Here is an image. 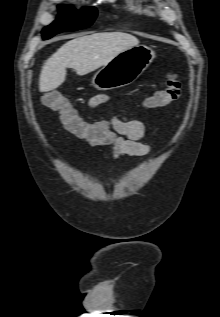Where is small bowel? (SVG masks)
Segmentation results:
<instances>
[{
  "mask_svg": "<svg viewBox=\"0 0 220 317\" xmlns=\"http://www.w3.org/2000/svg\"><path fill=\"white\" fill-rule=\"evenodd\" d=\"M107 100V96L100 94L90 100V107L95 108ZM106 131L100 130V123L87 124L82 131L74 134L88 145H112L114 159L126 156H144L149 152V146L139 142L146 134V126L139 120L123 121L112 116Z\"/></svg>",
  "mask_w": 220,
  "mask_h": 317,
  "instance_id": "obj_1",
  "label": "small bowel"
}]
</instances>
